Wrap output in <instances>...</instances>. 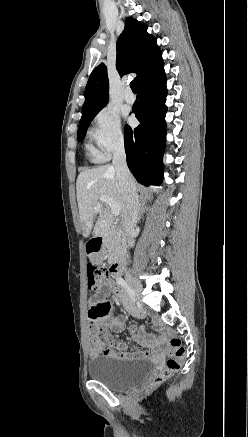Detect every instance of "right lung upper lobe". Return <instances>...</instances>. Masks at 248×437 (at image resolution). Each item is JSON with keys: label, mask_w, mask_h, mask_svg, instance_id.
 <instances>
[{"label": "right lung upper lobe", "mask_w": 248, "mask_h": 437, "mask_svg": "<svg viewBox=\"0 0 248 437\" xmlns=\"http://www.w3.org/2000/svg\"><path fill=\"white\" fill-rule=\"evenodd\" d=\"M116 47L117 71L121 77L128 73H136L137 85L163 62L156 38L147 32L144 23L131 17L126 19L125 28ZM107 90V68L101 63L93 70L86 85L81 120L96 115L106 105Z\"/></svg>", "instance_id": "right-lung-upper-lobe-1"}]
</instances>
